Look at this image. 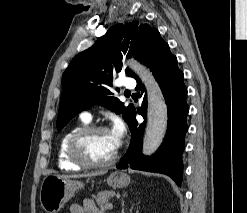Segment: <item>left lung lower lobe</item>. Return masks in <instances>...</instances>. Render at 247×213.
Masks as SVG:
<instances>
[{
    "instance_id": "left-lung-lower-lobe-1",
    "label": "left lung lower lobe",
    "mask_w": 247,
    "mask_h": 213,
    "mask_svg": "<svg viewBox=\"0 0 247 213\" xmlns=\"http://www.w3.org/2000/svg\"><path fill=\"white\" fill-rule=\"evenodd\" d=\"M152 73L159 83L168 107V125L165 139L158 151L151 157L142 155V139L147 119V98L144 95L142 107L138 113L145 119L138 125L134 114L128 123L131 131V142L120 164L119 169L143 170L148 172L164 173L170 176L179 186L182 181V153L184 150V137L188 130L186 116L189 107L186 103L187 89L184 85V75L177 66V59L170 55L164 61L154 65ZM137 89L142 94L145 88L139 80Z\"/></svg>"
}]
</instances>
